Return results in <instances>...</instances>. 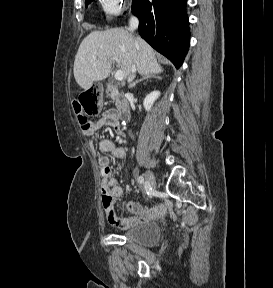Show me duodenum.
I'll return each instance as SVG.
<instances>
[{
  "label": "duodenum",
  "mask_w": 273,
  "mask_h": 288,
  "mask_svg": "<svg viewBox=\"0 0 273 288\" xmlns=\"http://www.w3.org/2000/svg\"><path fill=\"white\" fill-rule=\"evenodd\" d=\"M111 95L116 101L118 118L122 122H128L131 118L130 107L116 89L111 90Z\"/></svg>",
  "instance_id": "obj_1"
}]
</instances>
